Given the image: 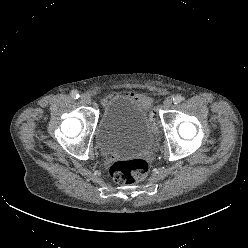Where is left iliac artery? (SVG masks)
I'll return each mask as SVG.
<instances>
[{"instance_id":"1","label":"left iliac artery","mask_w":248,"mask_h":248,"mask_svg":"<svg viewBox=\"0 0 248 248\" xmlns=\"http://www.w3.org/2000/svg\"><path fill=\"white\" fill-rule=\"evenodd\" d=\"M184 100V97L182 95H176L173 97L174 104H179Z\"/></svg>"}]
</instances>
